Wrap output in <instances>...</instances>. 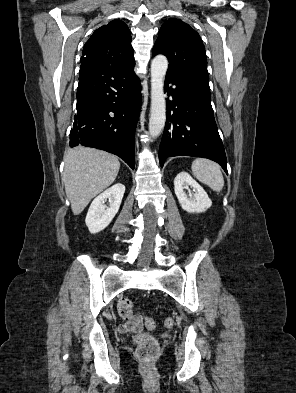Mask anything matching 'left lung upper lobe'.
Here are the masks:
<instances>
[{"label": "left lung upper lobe", "instance_id": "5c2ea615", "mask_svg": "<svg viewBox=\"0 0 296 393\" xmlns=\"http://www.w3.org/2000/svg\"><path fill=\"white\" fill-rule=\"evenodd\" d=\"M152 54L167 56L168 75L209 81L203 42L195 30L179 19H169L162 25Z\"/></svg>", "mask_w": 296, "mask_h": 393}]
</instances>
